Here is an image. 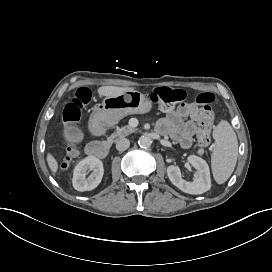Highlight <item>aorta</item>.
<instances>
[{
  "label": "aorta",
  "mask_w": 272,
  "mask_h": 272,
  "mask_svg": "<svg viewBox=\"0 0 272 272\" xmlns=\"http://www.w3.org/2000/svg\"><path fill=\"white\" fill-rule=\"evenodd\" d=\"M138 143L141 147H149L151 144V140L148 136H140L138 139Z\"/></svg>",
  "instance_id": "762f6f07"
}]
</instances>
